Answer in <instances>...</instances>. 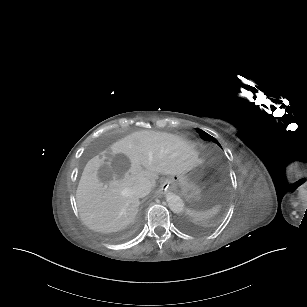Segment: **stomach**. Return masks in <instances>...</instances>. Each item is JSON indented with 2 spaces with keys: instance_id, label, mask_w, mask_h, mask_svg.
<instances>
[{
  "instance_id": "0dacf381",
  "label": "stomach",
  "mask_w": 307,
  "mask_h": 307,
  "mask_svg": "<svg viewBox=\"0 0 307 307\" xmlns=\"http://www.w3.org/2000/svg\"><path fill=\"white\" fill-rule=\"evenodd\" d=\"M197 167V166H196ZM194 167L189 173L171 175L167 178V184L172 189H178L183 194L190 193L196 189V181L199 175V168Z\"/></svg>"
}]
</instances>
